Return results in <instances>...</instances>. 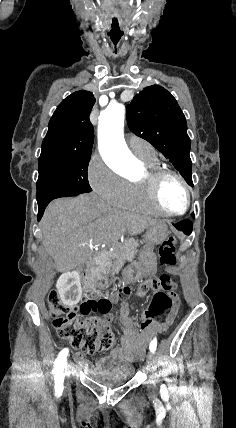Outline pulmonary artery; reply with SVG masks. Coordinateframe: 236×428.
Segmentation results:
<instances>
[{"mask_svg":"<svg viewBox=\"0 0 236 428\" xmlns=\"http://www.w3.org/2000/svg\"><path fill=\"white\" fill-rule=\"evenodd\" d=\"M145 145H140L138 142H132L130 148L132 152L139 158H154L155 153L152 146L144 143Z\"/></svg>","mask_w":236,"mask_h":428,"instance_id":"pulmonary-artery-1","label":"pulmonary artery"}]
</instances>
